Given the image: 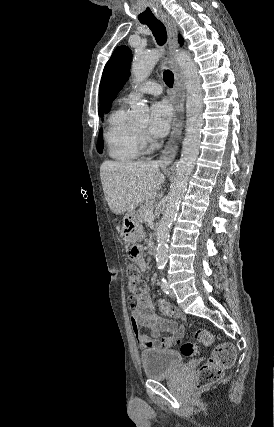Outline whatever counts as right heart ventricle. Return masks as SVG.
I'll return each mask as SVG.
<instances>
[{"label": "right heart ventricle", "instance_id": "1", "mask_svg": "<svg viewBox=\"0 0 274 427\" xmlns=\"http://www.w3.org/2000/svg\"><path fill=\"white\" fill-rule=\"evenodd\" d=\"M108 156L119 162L139 159L140 150L135 135V125L128 119L124 107H119L111 116V126L105 134Z\"/></svg>", "mask_w": 274, "mask_h": 427}]
</instances>
